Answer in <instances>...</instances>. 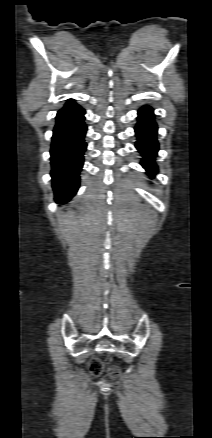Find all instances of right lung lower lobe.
<instances>
[{"label": "right lung lower lobe", "instance_id": "right-lung-lower-lobe-1", "mask_svg": "<svg viewBox=\"0 0 212 438\" xmlns=\"http://www.w3.org/2000/svg\"><path fill=\"white\" fill-rule=\"evenodd\" d=\"M85 110L70 99L58 111L51 147V177L57 203H66L79 188V172L87 144Z\"/></svg>", "mask_w": 212, "mask_h": 438}]
</instances>
